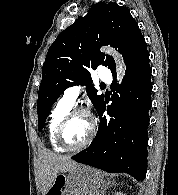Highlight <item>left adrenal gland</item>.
Returning a JSON list of instances; mask_svg holds the SVG:
<instances>
[{
	"label": "left adrenal gland",
	"instance_id": "obj_1",
	"mask_svg": "<svg viewBox=\"0 0 178 195\" xmlns=\"http://www.w3.org/2000/svg\"><path fill=\"white\" fill-rule=\"evenodd\" d=\"M111 186H116V183L115 182H111L108 180V182H106L104 185H103V190H102V194L101 195H104L106 190L111 187Z\"/></svg>",
	"mask_w": 178,
	"mask_h": 195
}]
</instances>
